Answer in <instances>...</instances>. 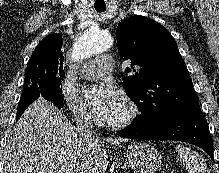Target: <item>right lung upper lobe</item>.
<instances>
[{
	"label": "right lung upper lobe",
	"mask_w": 219,
	"mask_h": 173,
	"mask_svg": "<svg viewBox=\"0 0 219 173\" xmlns=\"http://www.w3.org/2000/svg\"><path fill=\"white\" fill-rule=\"evenodd\" d=\"M62 43L63 39L60 34L46 36L35 48L28 64L58 65L62 69L64 61L61 51Z\"/></svg>",
	"instance_id": "1"
}]
</instances>
